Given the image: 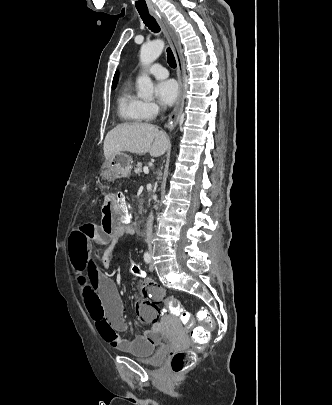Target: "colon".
Here are the masks:
<instances>
[{
  "label": "colon",
  "instance_id": "5ec220e1",
  "mask_svg": "<svg viewBox=\"0 0 332 405\" xmlns=\"http://www.w3.org/2000/svg\"><path fill=\"white\" fill-rule=\"evenodd\" d=\"M118 195L119 202L117 209L121 215V221H125L132 216V206L126 195L123 193H115ZM140 263L133 262L131 264L130 271L136 273L137 278H144L146 273L141 271ZM163 317H168V313L174 314L179 317L186 328H194L191 333L192 341L197 346L204 345L210 335L213 328L212 316L208 315L207 311L202 309L197 313L199 323L202 326L196 327V320L191 319L189 311L183 307L177 297L173 295H167L162 297ZM196 327V328H195ZM195 360V354L190 350H180L171 354V369L174 373H180L192 366Z\"/></svg>",
  "mask_w": 332,
  "mask_h": 405
}]
</instances>
